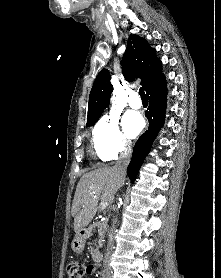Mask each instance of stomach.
Returning a JSON list of instances; mask_svg holds the SVG:
<instances>
[{
	"label": "stomach",
	"instance_id": "stomach-1",
	"mask_svg": "<svg viewBox=\"0 0 221 278\" xmlns=\"http://www.w3.org/2000/svg\"><path fill=\"white\" fill-rule=\"evenodd\" d=\"M85 236L80 232L76 234L75 238L71 243V248L75 253H81L85 246Z\"/></svg>",
	"mask_w": 221,
	"mask_h": 278
}]
</instances>
